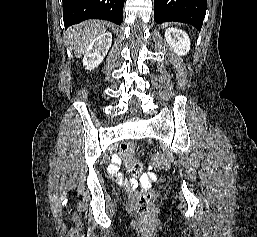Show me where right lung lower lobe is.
Segmentation results:
<instances>
[{"label": "right lung lower lobe", "instance_id": "right-lung-lower-lobe-1", "mask_svg": "<svg viewBox=\"0 0 257 237\" xmlns=\"http://www.w3.org/2000/svg\"><path fill=\"white\" fill-rule=\"evenodd\" d=\"M124 0H63L64 25L69 27L87 19H103L120 25Z\"/></svg>", "mask_w": 257, "mask_h": 237}]
</instances>
